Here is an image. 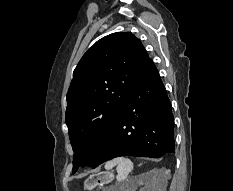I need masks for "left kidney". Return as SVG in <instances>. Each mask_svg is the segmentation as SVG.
<instances>
[{"label":"left kidney","mask_w":233,"mask_h":191,"mask_svg":"<svg viewBox=\"0 0 233 191\" xmlns=\"http://www.w3.org/2000/svg\"><path fill=\"white\" fill-rule=\"evenodd\" d=\"M156 177H157V175L154 172L148 173V178L146 179V181H148V183L146 184L147 188H151L152 186L155 185L156 180H157ZM140 180L142 181V177H140ZM147 191H149V190H147Z\"/></svg>","instance_id":"1"}]
</instances>
